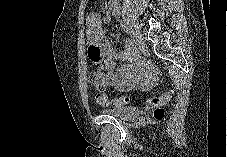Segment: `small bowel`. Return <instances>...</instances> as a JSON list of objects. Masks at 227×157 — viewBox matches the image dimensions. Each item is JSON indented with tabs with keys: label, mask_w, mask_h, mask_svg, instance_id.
I'll list each match as a JSON object with an SVG mask.
<instances>
[{
	"label": "small bowel",
	"mask_w": 227,
	"mask_h": 157,
	"mask_svg": "<svg viewBox=\"0 0 227 157\" xmlns=\"http://www.w3.org/2000/svg\"><path fill=\"white\" fill-rule=\"evenodd\" d=\"M87 26L90 44L88 58L90 62H102L103 68L92 81L96 88L109 86L119 91H127L133 88L149 89L153 86L156 81L155 69L143 63L130 42L126 43L122 53H118L110 41L104 40L100 14L91 13L87 18ZM117 60L124 62L119 68L116 66Z\"/></svg>",
	"instance_id": "1"
}]
</instances>
